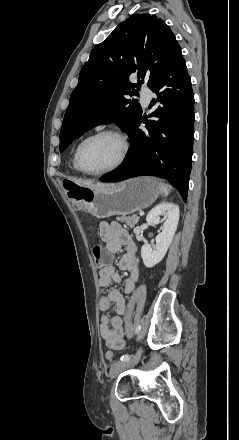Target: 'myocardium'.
<instances>
[{
	"instance_id": "f54148a6",
	"label": "myocardium",
	"mask_w": 239,
	"mask_h": 440,
	"mask_svg": "<svg viewBox=\"0 0 239 440\" xmlns=\"http://www.w3.org/2000/svg\"><path fill=\"white\" fill-rule=\"evenodd\" d=\"M103 135L114 136V137H116L119 140V142L121 144V154L119 156V159L115 163V165H113L111 168H108L106 170L98 171V172L86 171L82 167V164H81V151H82V148H83V146L88 141H90V140H92V139H94L96 137L103 136ZM129 148H130L129 141H128L127 137L125 136V134L123 132H121L120 130L115 129V128H101V129L96 130V131L90 133L89 135H87L78 144V146L76 148V152H75L76 167H77L79 172H81L84 175L91 176V177H99V176H104V175H108V174L114 173L115 171L120 169L122 167V165L125 163V161H126V159L128 157Z\"/></svg>"
}]
</instances>
